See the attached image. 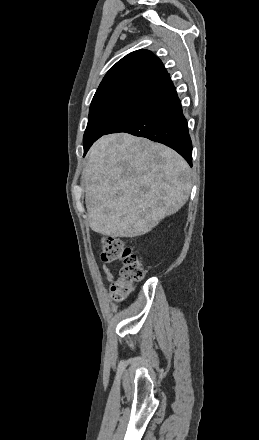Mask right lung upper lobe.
I'll list each match as a JSON object with an SVG mask.
<instances>
[{
    "label": "right lung upper lobe",
    "instance_id": "cb5924a9",
    "mask_svg": "<svg viewBox=\"0 0 259 440\" xmlns=\"http://www.w3.org/2000/svg\"><path fill=\"white\" fill-rule=\"evenodd\" d=\"M168 75L161 60L151 51L137 50L118 61L105 75L94 98L120 91L150 90Z\"/></svg>",
    "mask_w": 259,
    "mask_h": 440
}]
</instances>
